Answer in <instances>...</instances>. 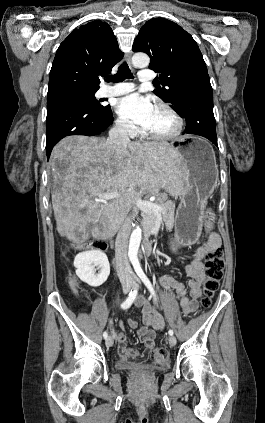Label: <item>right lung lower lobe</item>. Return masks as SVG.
Instances as JSON below:
<instances>
[{"mask_svg": "<svg viewBox=\"0 0 265 423\" xmlns=\"http://www.w3.org/2000/svg\"><path fill=\"white\" fill-rule=\"evenodd\" d=\"M113 123L111 109L97 110L82 98L56 94L47 98L46 152L49 159L53 147L70 135L94 136Z\"/></svg>", "mask_w": 265, "mask_h": 423, "instance_id": "right-lung-lower-lobe-1", "label": "right lung lower lobe"}]
</instances>
